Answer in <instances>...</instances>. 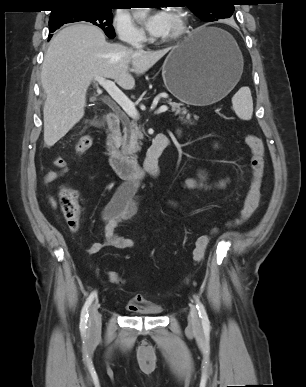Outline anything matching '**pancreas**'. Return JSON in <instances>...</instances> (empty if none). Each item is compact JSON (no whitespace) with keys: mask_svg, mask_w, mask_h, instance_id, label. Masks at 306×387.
<instances>
[{"mask_svg":"<svg viewBox=\"0 0 306 387\" xmlns=\"http://www.w3.org/2000/svg\"><path fill=\"white\" fill-rule=\"evenodd\" d=\"M167 103L172 107V112L179 116V119L183 123L193 124L190 120V114L187 113L186 108H181L180 103L172 102L168 100ZM184 115H186L184 119ZM197 120V116L194 117ZM123 124V136L120 138V145L122 153L130 155L140 150L139 140H142L144 130L141 129L135 122L129 121L127 118L122 120Z\"/></svg>","mask_w":306,"mask_h":387,"instance_id":"obj_1","label":"pancreas"}]
</instances>
